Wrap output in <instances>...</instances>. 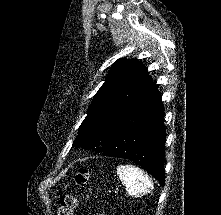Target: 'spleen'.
I'll use <instances>...</instances> for the list:
<instances>
[{"label":"spleen","mask_w":221,"mask_h":215,"mask_svg":"<svg viewBox=\"0 0 221 215\" xmlns=\"http://www.w3.org/2000/svg\"><path fill=\"white\" fill-rule=\"evenodd\" d=\"M117 174L132 196H142L153 189V183L145 172L133 165H120Z\"/></svg>","instance_id":"spleen-1"}]
</instances>
